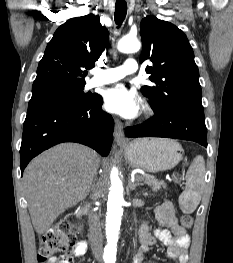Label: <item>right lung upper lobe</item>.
<instances>
[{
	"instance_id": "obj_1",
	"label": "right lung upper lobe",
	"mask_w": 233,
	"mask_h": 263,
	"mask_svg": "<svg viewBox=\"0 0 233 263\" xmlns=\"http://www.w3.org/2000/svg\"><path fill=\"white\" fill-rule=\"evenodd\" d=\"M108 41V30L98 16L69 19L48 43L39 62L32 96L85 85L84 77L94 66Z\"/></svg>"
}]
</instances>
